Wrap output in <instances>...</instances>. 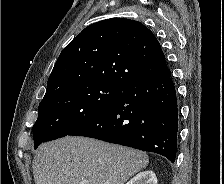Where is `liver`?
Returning a JSON list of instances; mask_svg holds the SVG:
<instances>
[{
  "mask_svg": "<svg viewBox=\"0 0 224 184\" xmlns=\"http://www.w3.org/2000/svg\"><path fill=\"white\" fill-rule=\"evenodd\" d=\"M148 163L136 149L66 136L42 144L32 169L35 184H125Z\"/></svg>",
  "mask_w": 224,
  "mask_h": 184,
  "instance_id": "liver-1",
  "label": "liver"
}]
</instances>
